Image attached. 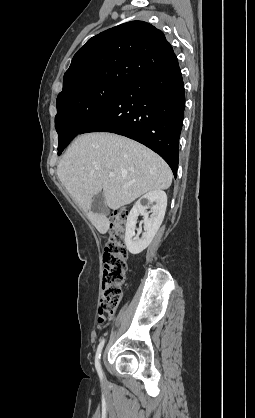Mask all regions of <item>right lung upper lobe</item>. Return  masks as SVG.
Listing matches in <instances>:
<instances>
[{
    "label": "right lung upper lobe",
    "mask_w": 255,
    "mask_h": 418,
    "mask_svg": "<svg viewBox=\"0 0 255 418\" xmlns=\"http://www.w3.org/2000/svg\"><path fill=\"white\" fill-rule=\"evenodd\" d=\"M176 62L162 31L143 21L127 22L90 38L79 49L64 74L59 95L98 81L130 84Z\"/></svg>",
    "instance_id": "obj_1"
}]
</instances>
